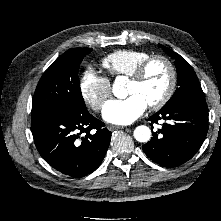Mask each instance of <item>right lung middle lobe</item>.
Wrapping results in <instances>:
<instances>
[{
    "mask_svg": "<svg viewBox=\"0 0 221 221\" xmlns=\"http://www.w3.org/2000/svg\"><path fill=\"white\" fill-rule=\"evenodd\" d=\"M91 48H73L58 57L42 75L32 102V117L62 109H86L78 78L80 63Z\"/></svg>",
    "mask_w": 221,
    "mask_h": 221,
    "instance_id": "1",
    "label": "right lung middle lobe"
}]
</instances>
